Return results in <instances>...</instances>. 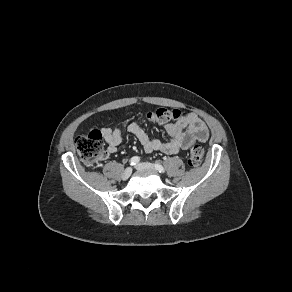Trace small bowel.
<instances>
[{
  "label": "small bowel",
  "mask_w": 292,
  "mask_h": 292,
  "mask_svg": "<svg viewBox=\"0 0 292 292\" xmlns=\"http://www.w3.org/2000/svg\"><path fill=\"white\" fill-rule=\"evenodd\" d=\"M156 122L165 128L169 135L168 141L150 138L138 122H131L127 127L128 132L136 137L147 153L160 151L165 154H175L187 149L193 142H204L209 137L207 126L193 112L180 111V115L175 119ZM101 133L107 143L105 157L116 153L122 142L121 130L118 128H103Z\"/></svg>",
  "instance_id": "obj_1"
}]
</instances>
